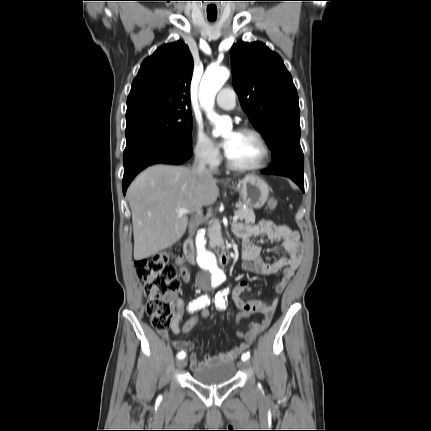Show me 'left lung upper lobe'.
I'll return each instance as SVG.
<instances>
[{
	"instance_id": "obj_1",
	"label": "left lung upper lobe",
	"mask_w": 431,
	"mask_h": 431,
	"mask_svg": "<svg viewBox=\"0 0 431 431\" xmlns=\"http://www.w3.org/2000/svg\"><path fill=\"white\" fill-rule=\"evenodd\" d=\"M230 55L233 86L272 150V163L285 155L303 157L298 94L282 58L258 41L234 44Z\"/></svg>"
}]
</instances>
